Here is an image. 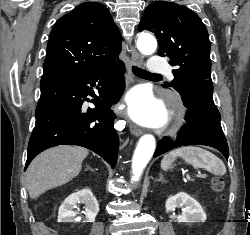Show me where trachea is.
<instances>
[{
	"label": "trachea",
	"instance_id": "trachea-1",
	"mask_svg": "<svg viewBox=\"0 0 250 235\" xmlns=\"http://www.w3.org/2000/svg\"><path fill=\"white\" fill-rule=\"evenodd\" d=\"M132 71L136 76L139 77H162L160 74H153L136 66L132 67Z\"/></svg>",
	"mask_w": 250,
	"mask_h": 235
}]
</instances>
